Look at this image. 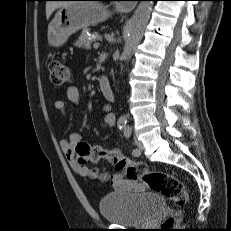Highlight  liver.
Masks as SVG:
<instances>
[{"label": "liver", "instance_id": "1", "mask_svg": "<svg viewBox=\"0 0 231 231\" xmlns=\"http://www.w3.org/2000/svg\"><path fill=\"white\" fill-rule=\"evenodd\" d=\"M72 4V2L68 1H48L46 3V17L47 19L51 16V14L58 8L65 7Z\"/></svg>", "mask_w": 231, "mask_h": 231}]
</instances>
